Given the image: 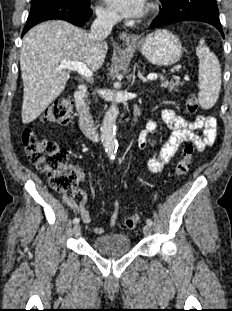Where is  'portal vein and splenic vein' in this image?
Instances as JSON below:
<instances>
[{
    "instance_id": "obj_1",
    "label": "portal vein and splenic vein",
    "mask_w": 232,
    "mask_h": 311,
    "mask_svg": "<svg viewBox=\"0 0 232 311\" xmlns=\"http://www.w3.org/2000/svg\"><path fill=\"white\" fill-rule=\"evenodd\" d=\"M59 69L73 70L87 78L93 75L92 71L84 63L76 61H62L59 65ZM157 78L158 74L156 73H151L147 76L148 80H156Z\"/></svg>"
}]
</instances>
